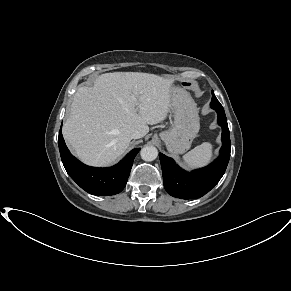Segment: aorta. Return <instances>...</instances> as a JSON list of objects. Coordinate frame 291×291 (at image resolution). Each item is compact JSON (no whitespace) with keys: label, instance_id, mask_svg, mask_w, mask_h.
I'll list each match as a JSON object with an SVG mask.
<instances>
[{"label":"aorta","instance_id":"1","mask_svg":"<svg viewBox=\"0 0 291 291\" xmlns=\"http://www.w3.org/2000/svg\"><path fill=\"white\" fill-rule=\"evenodd\" d=\"M140 155L144 161H153L158 156V150L154 146H145L141 149Z\"/></svg>","mask_w":291,"mask_h":291}]
</instances>
